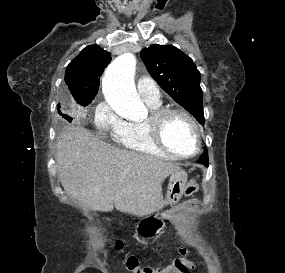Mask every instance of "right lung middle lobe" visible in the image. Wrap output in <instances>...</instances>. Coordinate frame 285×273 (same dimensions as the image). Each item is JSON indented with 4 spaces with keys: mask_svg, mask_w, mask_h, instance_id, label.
<instances>
[{
    "mask_svg": "<svg viewBox=\"0 0 285 273\" xmlns=\"http://www.w3.org/2000/svg\"><path fill=\"white\" fill-rule=\"evenodd\" d=\"M91 102H92V101H91ZM91 102L80 103V105H82V106H87V105L90 104ZM58 106H59V105H58ZM59 107H60V106H59ZM58 112H59V114H61L65 119H67L69 122H71V120H72L71 117H68V116L63 115V114L60 112L59 109H58Z\"/></svg>",
    "mask_w": 285,
    "mask_h": 273,
    "instance_id": "dd1d6c3e",
    "label": "right lung middle lobe"
}]
</instances>
